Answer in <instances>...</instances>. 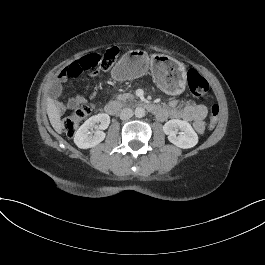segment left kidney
<instances>
[{"mask_svg": "<svg viewBox=\"0 0 265 265\" xmlns=\"http://www.w3.org/2000/svg\"><path fill=\"white\" fill-rule=\"evenodd\" d=\"M178 129L183 133L177 135ZM163 131L168 135V140L177 147L187 149L194 147L198 143V135L187 121L170 120L163 126Z\"/></svg>", "mask_w": 265, "mask_h": 265, "instance_id": "1", "label": "left kidney"}]
</instances>
